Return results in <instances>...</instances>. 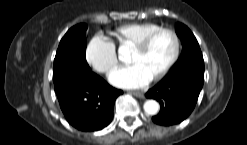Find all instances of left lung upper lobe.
Instances as JSON below:
<instances>
[{
    "label": "left lung upper lobe",
    "mask_w": 247,
    "mask_h": 145,
    "mask_svg": "<svg viewBox=\"0 0 247 145\" xmlns=\"http://www.w3.org/2000/svg\"><path fill=\"white\" fill-rule=\"evenodd\" d=\"M176 33L182 42V55L176 66L189 61H203L199 44L190 29L182 23H177Z\"/></svg>",
    "instance_id": "1"
}]
</instances>
